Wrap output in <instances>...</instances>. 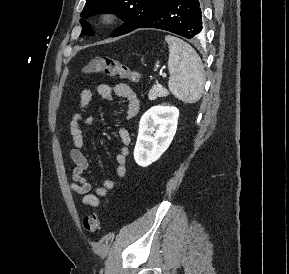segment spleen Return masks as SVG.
<instances>
[{"label":"spleen","instance_id":"spleen-1","mask_svg":"<svg viewBox=\"0 0 289 274\" xmlns=\"http://www.w3.org/2000/svg\"><path fill=\"white\" fill-rule=\"evenodd\" d=\"M165 40L169 46L168 88L177 99L195 103L201 98L204 85L201 58L188 43L178 37L167 35Z\"/></svg>","mask_w":289,"mask_h":274}]
</instances>
